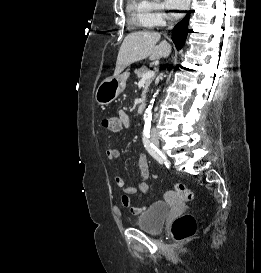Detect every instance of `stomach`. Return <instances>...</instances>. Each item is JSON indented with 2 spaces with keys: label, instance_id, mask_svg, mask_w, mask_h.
Segmentation results:
<instances>
[{
  "label": "stomach",
  "instance_id": "1",
  "mask_svg": "<svg viewBox=\"0 0 261 273\" xmlns=\"http://www.w3.org/2000/svg\"><path fill=\"white\" fill-rule=\"evenodd\" d=\"M130 73L124 72L118 76H112L104 79L95 92V101L99 105H108L123 92L126 87V81Z\"/></svg>",
  "mask_w": 261,
  "mask_h": 273
}]
</instances>
